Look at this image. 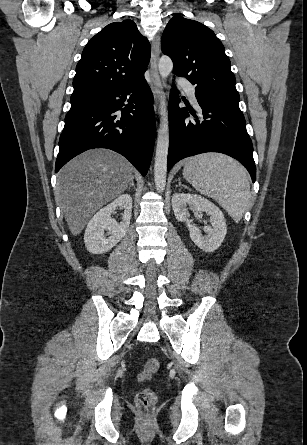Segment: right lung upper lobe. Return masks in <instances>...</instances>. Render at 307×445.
Segmentation results:
<instances>
[{
    "label": "right lung upper lobe",
    "mask_w": 307,
    "mask_h": 445,
    "mask_svg": "<svg viewBox=\"0 0 307 445\" xmlns=\"http://www.w3.org/2000/svg\"><path fill=\"white\" fill-rule=\"evenodd\" d=\"M150 53L149 42L132 20L107 25L90 39L82 52L71 99L142 79Z\"/></svg>",
    "instance_id": "1"
}]
</instances>
